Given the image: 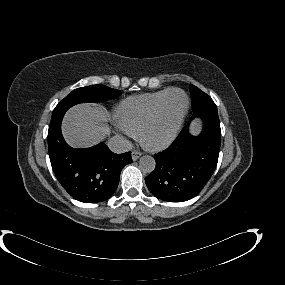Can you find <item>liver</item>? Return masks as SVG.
Masks as SVG:
<instances>
[{"mask_svg": "<svg viewBox=\"0 0 285 285\" xmlns=\"http://www.w3.org/2000/svg\"><path fill=\"white\" fill-rule=\"evenodd\" d=\"M110 113L101 105L79 104L65 114L62 133L73 147H89L109 134Z\"/></svg>", "mask_w": 285, "mask_h": 285, "instance_id": "6515ba94", "label": "liver"}]
</instances>
